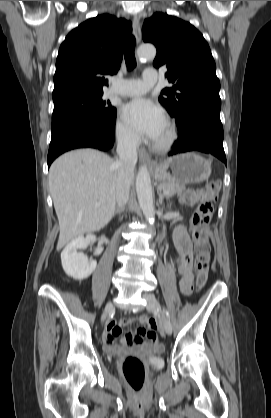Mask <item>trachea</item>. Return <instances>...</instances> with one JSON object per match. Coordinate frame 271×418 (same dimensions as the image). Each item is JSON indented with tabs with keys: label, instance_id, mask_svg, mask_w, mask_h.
I'll return each instance as SVG.
<instances>
[{
	"label": "trachea",
	"instance_id": "trachea-1",
	"mask_svg": "<svg viewBox=\"0 0 271 418\" xmlns=\"http://www.w3.org/2000/svg\"><path fill=\"white\" fill-rule=\"evenodd\" d=\"M134 49H135V37L131 36L124 49V58L126 62V66L128 70H133L136 67V59L134 55Z\"/></svg>",
	"mask_w": 271,
	"mask_h": 418
}]
</instances>
